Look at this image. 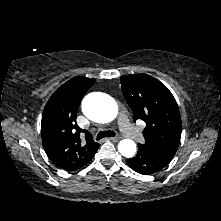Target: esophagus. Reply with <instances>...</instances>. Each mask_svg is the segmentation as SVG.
I'll return each mask as SVG.
<instances>
[{"instance_id":"obj_1","label":"esophagus","mask_w":221,"mask_h":221,"mask_svg":"<svg viewBox=\"0 0 221 221\" xmlns=\"http://www.w3.org/2000/svg\"><path fill=\"white\" fill-rule=\"evenodd\" d=\"M121 139H122V137H120V136L110 138V140L113 141V142H117Z\"/></svg>"}]
</instances>
